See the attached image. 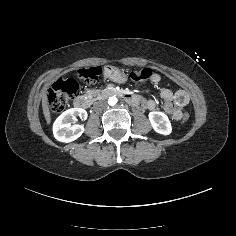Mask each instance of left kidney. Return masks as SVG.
Returning a JSON list of instances; mask_svg holds the SVG:
<instances>
[{
  "label": "left kidney",
  "instance_id": "1",
  "mask_svg": "<svg viewBox=\"0 0 236 236\" xmlns=\"http://www.w3.org/2000/svg\"><path fill=\"white\" fill-rule=\"evenodd\" d=\"M148 118L153 130L161 135H170L172 132L171 122L168 116L160 111L149 112Z\"/></svg>",
  "mask_w": 236,
  "mask_h": 236
}]
</instances>
